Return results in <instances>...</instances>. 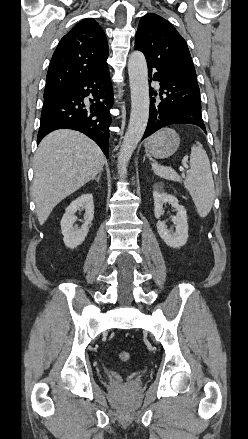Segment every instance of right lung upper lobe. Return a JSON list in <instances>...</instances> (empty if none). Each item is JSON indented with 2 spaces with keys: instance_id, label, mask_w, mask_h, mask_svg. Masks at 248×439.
Instances as JSON below:
<instances>
[{
  "instance_id": "1",
  "label": "right lung upper lobe",
  "mask_w": 248,
  "mask_h": 439,
  "mask_svg": "<svg viewBox=\"0 0 248 439\" xmlns=\"http://www.w3.org/2000/svg\"><path fill=\"white\" fill-rule=\"evenodd\" d=\"M108 43L100 25L86 18L59 42L49 65L44 97L107 67Z\"/></svg>"
}]
</instances>
